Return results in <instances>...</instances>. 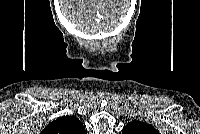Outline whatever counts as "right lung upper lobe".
Here are the masks:
<instances>
[{
	"mask_svg": "<svg viewBox=\"0 0 200 134\" xmlns=\"http://www.w3.org/2000/svg\"><path fill=\"white\" fill-rule=\"evenodd\" d=\"M44 134H84L85 127L74 116H64L46 126Z\"/></svg>",
	"mask_w": 200,
	"mask_h": 134,
	"instance_id": "right-lung-upper-lobe-1",
	"label": "right lung upper lobe"
}]
</instances>
